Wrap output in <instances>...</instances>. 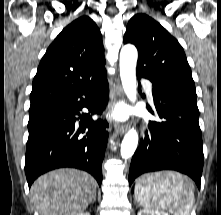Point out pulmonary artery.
Returning <instances> with one entry per match:
<instances>
[{
  "instance_id": "obj_1",
  "label": "pulmonary artery",
  "mask_w": 221,
  "mask_h": 215,
  "mask_svg": "<svg viewBox=\"0 0 221 215\" xmlns=\"http://www.w3.org/2000/svg\"><path fill=\"white\" fill-rule=\"evenodd\" d=\"M143 84L145 86L148 98L152 101L153 100V95H152V84L150 81L143 80Z\"/></svg>"
}]
</instances>
